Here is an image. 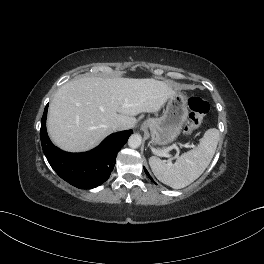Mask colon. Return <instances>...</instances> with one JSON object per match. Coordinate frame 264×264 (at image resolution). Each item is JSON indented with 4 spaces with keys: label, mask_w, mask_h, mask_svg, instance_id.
<instances>
[{
    "label": "colon",
    "mask_w": 264,
    "mask_h": 264,
    "mask_svg": "<svg viewBox=\"0 0 264 264\" xmlns=\"http://www.w3.org/2000/svg\"><path fill=\"white\" fill-rule=\"evenodd\" d=\"M188 106L190 113L183 125V132L185 134H190L202 124L205 115L209 111V104L207 101L200 97H191L188 100Z\"/></svg>",
    "instance_id": "colon-1"
}]
</instances>
